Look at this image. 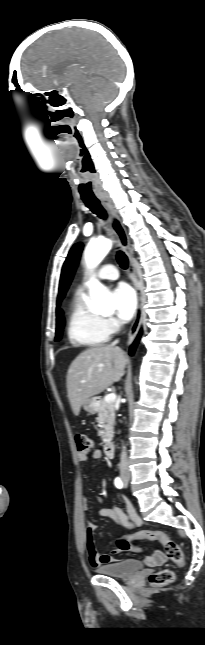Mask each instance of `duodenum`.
<instances>
[{
	"instance_id": "duodenum-1",
	"label": "duodenum",
	"mask_w": 205,
	"mask_h": 645,
	"mask_svg": "<svg viewBox=\"0 0 205 645\" xmlns=\"http://www.w3.org/2000/svg\"><path fill=\"white\" fill-rule=\"evenodd\" d=\"M115 453L114 444L112 442H106L104 444V454L107 458H113Z\"/></svg>"
}]
</instances>
